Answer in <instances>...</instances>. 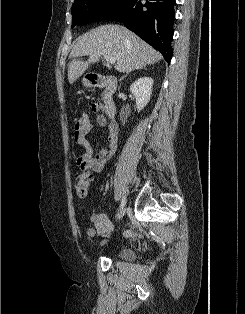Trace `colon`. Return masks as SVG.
<instances>
[{
  "label": "colon",
  "instance_id": "colon-1",
  "mask_svg": "<svg viewBox=\"0 0 245 314\" xmlns=\"http://www.w3.org/2000/svg\"><path fill=\"white\" fill-rule=\"evenodd\" d=\"M91 179L92 174L88 169H83L75 176L74 187L79 197H85L87 195Z\"/></svg>",
  "mask_w": 245,
  "mask_h": 314
}]
</instances>
